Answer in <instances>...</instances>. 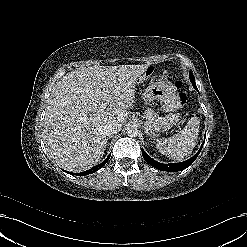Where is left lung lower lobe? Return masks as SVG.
I'll use <instances>...</instances> for the list:
<instances>
[{
	"label": "left lung lower lobe",
	"mask_w": 247,
	"mask_h": 247,
	"mask_svg": "<svg viewBox=\"0 0 247 247\" xmlns=\"http://www.w3.org/2000/svg\"><path fill=\"white\" fill-rule=\"evenodd\" d=\"M191 83H192L193 87L196 90H198L196 83H195V80H191ZM204 142H205V140H204ZM203 144H202L200 150L192 158H190L184 162H180V163H170V164L159 163V162L153 160L144 150H142V155H143V158L146 160L147 163H149L154 168H157L158 170L168 171V172H177V171H181V170L186 169L195 161V159L197 158V156L199 155V153L203 147Z\"/></svg>",
	"instance_id": "obj_1"
}]
</instances>
